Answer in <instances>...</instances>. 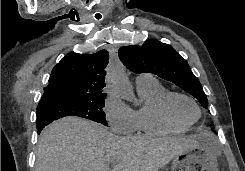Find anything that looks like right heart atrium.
Masks as SVG:
<instances>
[{"label": "right heart atrium", "instance_id": "d8ad5b80", "mask_svg": "<svg viewBox=\"0 0 245 171\" xmlns=\"http://www.w3.org/2000/svg\"><path fill=\"white\" fill-rule=\"evenodd\" d=\"M103 111L110 129L118 134H131L136 131L134 111L125 105L113 91H108Z\"/></svg>", "mask_w": 245, "mask_h": 171}]
</instances>
